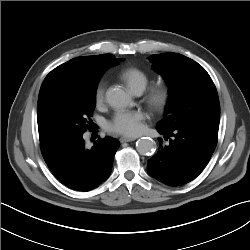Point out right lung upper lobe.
<instances>
[{
  "label": "right lung upper lobe",
  "instance_id": "cb5924a9",
  "mask_svg": "<svg viewBox=\"0 0 250 250\" xmlns=\"http://www.w3.org/2000/svg\"><path fill=\"white\" fill-rule=\"evenodd\" d=\"M120 60L111 54L81 56L56 67L41 86L37 105L38 121L65 92L99 80L107 68L117 65Z\"/></svg>",
  "mask_w": 250,
  "mask_h": 250
}]
</instances>
